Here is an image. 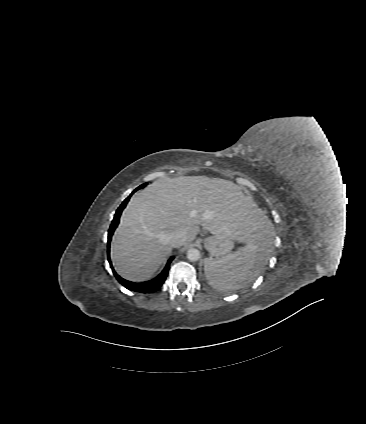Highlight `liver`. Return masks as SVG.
I'll return each instance as SVG.
<instances>
[{"label": "liver", "instance_id": "1", "mask_svg": "<svg viewBox=\"0 0 366 424\" xmlns=\"http://www.w3.org/2000/svg\"><path fill=\"white\" fill-rule=\"evenodd\" d=\"M203 227L239 243L269 241L270 223L239 185L207 176H180L153 183L135 194L111 242L115 270L126 280L150 278L171 253L170 237L192 242Z\"/></svg>", "mask_w": 366, "mask_h": 424}]
</instances>
